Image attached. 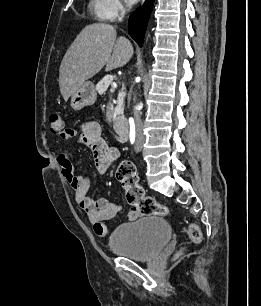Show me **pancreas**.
<instances>
[{
    "label": "pancreas",
    "instance_id": "obj_1",
    "mask_svg": "<svg viewBox=\"0 0 261 306\" xmlns=\"http://www.w3.org/2000/svg\"><path fill=\"white\" fill-rule=\"evenodd\" d=\"M114 77L112 75H106L104 76L96 85V90L99 94H104L109 85L113 83ZM115 90L114 87L110 88V92L113 93ZM123 113V93L119 94L118 101H117V109L116 114H122Z\"/></svg>",
    "mask_w": 261,
    "mask_h": 306
}]
</instances>
